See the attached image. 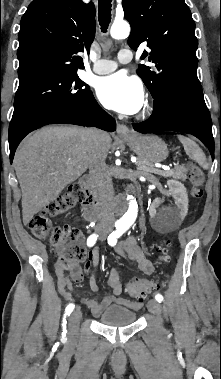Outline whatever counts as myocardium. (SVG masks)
<instances>
[{
    "label": "myocardium",
    "mask_w": 221,
    "mask_h": 379,
    "mask_svg": "<svg viewBox=\"0 0 221 379\" xmlns=\"http://www.w3.org/2000/svg\"><path fill=\"white\" fill-rule=\"evenodd\" d=\"M150 112H151V106L147 104L144 110L142 111V113L140 114L139 118H145Z\"/></svg>",
    "instance_id": "myocardium-1"
}]
</instances>
